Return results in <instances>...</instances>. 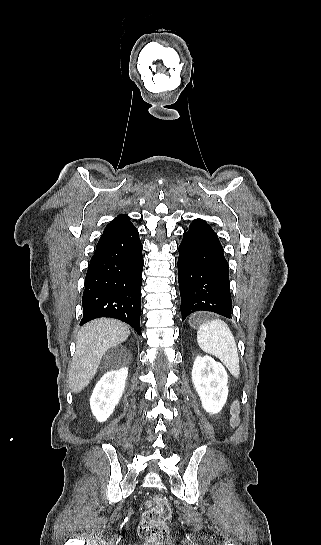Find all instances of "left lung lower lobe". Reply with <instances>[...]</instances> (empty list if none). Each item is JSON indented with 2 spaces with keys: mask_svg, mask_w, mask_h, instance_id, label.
<instances>
[{
  "mask_svg": "<svg viewBox=\"0 0 321 545\" xmlns=\"http://www.w3.org/2000/svg\"><path fill=\"white\" fill-rule=\"evenodd\" d=\"M178 282L182 321L193 312L211 311L231 318L229 266L216 233L193 220L179 246Z\"/></svg>",
  "mask_w": 321,
  "mask_h": 545,
  "instance_id": "0a47b994",
  "label": "left lung lower lobe"
}]
</instances>
